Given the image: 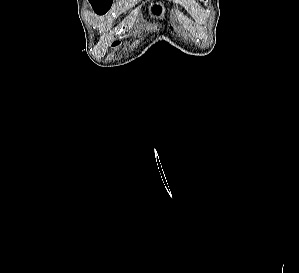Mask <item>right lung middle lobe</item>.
Here are the masks:
<instances>
[{"label":"right lung middle lobe","mask_w":299,"mask_h":273,"mask_svg":"<svg viewBox=\"0 0 299 273\" xmlns=\"http://www.w3.org/2000/svg\"><path fill=\"white\" fill-rule=\"evenodd\" d=\"M95 13L98 15L105 14L112 5L113 0H89Z\"/></svg>","instance_id":"obj_1"}]
</instances>
